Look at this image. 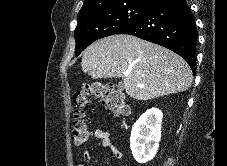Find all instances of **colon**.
Segmentation results:
<instances>
[{
    "label": "colon",
    "instance_id": "obj_1",
    "mask_svg": "<svg viewBox=\"0 0 227 166\" xmlns=\"http://www.w3.org/2000/svg\"><path fill=\"white\" fill-rule=\"evenodd\" d=\"M91 97L98 98L116 116L125 115L130 112V106L125 95L115 87L100 82L85 84L73 97L74 121L72 137L76 144H84L90 139L85 110L90 104Z\"/></svg>",
    "mask_w": 227,
    "mask_h": 166
}]
</instances>
